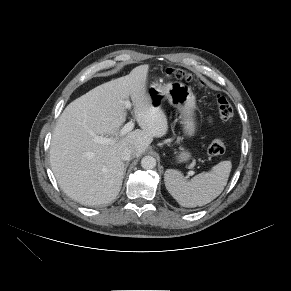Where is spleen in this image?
Here are the masks:
<instances>
[{
    "mask_svg": "<svg viewBox=\"0 0 291 291\" xmlns=\"http://www.w3.org/2000/svg\"><path fill=\"white\" fill-rule=\"evenodd\" d=\"M231 167V161H222L190 181H186L179 171L169 169L164 174L165 186L181 206H203L221 194L227 184Z\"/></svg>",
    "mask_w": 291,
    "mask_h": 291,
    "instance_id": "spleen-1",
    "label": "spleen"
}]
</instances>
